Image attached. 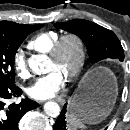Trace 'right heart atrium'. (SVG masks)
I'll use <instances>...</instances> for the list:
<instances>
[{"label":"right heart atrium","instance_id":"right-heart-atrium-1","mask_svg":"<svg viewBox=\"0 0 130 130\" xmlns=\"http://www.w3.org/2000/svg\"><path fill=\"white\" fill-rule=\"evenodd\" d=\"M13 66L18 75L26 78L29 75L25 53L22 49L16 50L13 55Z\"/></svg>","mask_w":130,"mask_h":130}]
</instances>
